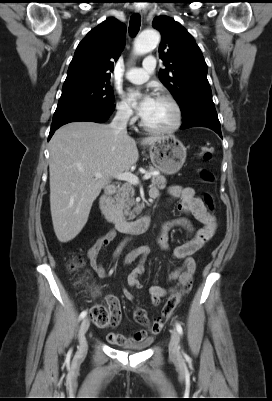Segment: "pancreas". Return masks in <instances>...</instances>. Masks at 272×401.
Wrapping results in <instances>:
<instances>
[{"label": "pancreas", "mask_w": 272, "mask_h": 401, "mask_svg": "<svg viewBox=\"0 0 272 401\" xmlns=\"http://www.w3.org/2000/svg\"><path fill=\"white\" fill-rule=\"evenodd\" d=\"M153 167H149V171H155ZM152 185L164 189L166 187V178L163 175H151ZM135 190L131 183L123 184L114 196L115 213L122 218L134 219L136 215L140 214L141 207L135 201ZM136 206L133 210L131 208Z\"/></svg>", "instance_id": "pancreas-1"}]
</instances>
